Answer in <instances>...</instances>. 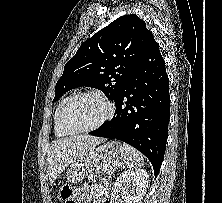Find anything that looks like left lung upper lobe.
Masks as SVG:
<instances>
[{
    "instance_id": "left-lung-upper-lobe-1",
    "label": "left lung upper lobe",
    "mask_w": 222,
    "mask_h": 203,
    "mask_svg": "<svg viewBox=\"0 0 222 203\" xmlns=\"http://www.w3.org/2000/svg\"><path fill=\"white\" fill-rule=\"evenodd\" d=\"M150 34L146 23L134 14L117 18L97 32L66 63L53 102L81 86L98 88L115 100L140 60Z\"/></svg>"
}]
</instances>
